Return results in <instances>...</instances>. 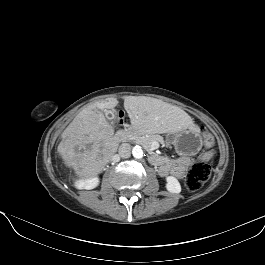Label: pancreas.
Wrapping results in <instances>:
<instances>
[{
    "label": "pancreas",
    "mask_w": 265,
    "mask_h": 265,
    "mask_svg": "<svg viewBox=\"0 0 265 265\" xmlns=\"http://www.w3.org/2000/svg\"><path fill=\"white\" fill-rule=\"evenodd\" d=\"M127 140L135 142L137 144H141L146 150L150 151L151 149V144L154 141H158L161 144L164 143L163 137L159 135H154V134H149V135H144L142 133H134V132H129L127 134Z\"/></svg>",
    "instance_id": "pancreas-1"
}]
</instances>
